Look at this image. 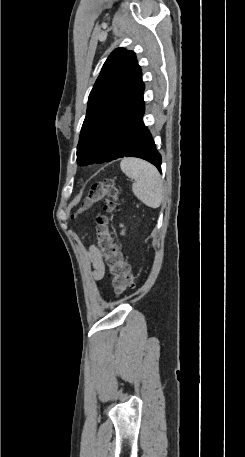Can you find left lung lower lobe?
<instances>
[{"label": "left lung lower lobe", "mask_w": 245, "mask_h": 457, "mask_svg": "<svg viewBox=\"0 0 245 457\" xmlns=\"http://www.w3.org/2000/svg\"><path fill=\"white\" fill-rule=\"evenodd\" d=\"M144 107L117 115L104 127H98L81 142L77 151L80 165L109 162L121 157H137L161 172V155L151 133L143 123Z\"/></svg>", "instance_id": "0a47b994"}]
</instances>
